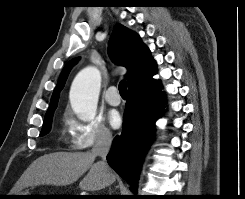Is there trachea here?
<instances>
[{"mask_svg": "<svg viewBox=\"0 0 245 199\" xmlns=\"http://www.w3.org/2000/svg\"><path fill=\"white\" fill-rule=\"evenodd\" d=\"M119 92L122 96H126V93H127V88H126V81L125 80H122L120 83H119Z\"/></svg>", "mask_w": 245, "mask_h": 199, "instance_id": "trachea-1", "label": "trachea"}]
</instances>
